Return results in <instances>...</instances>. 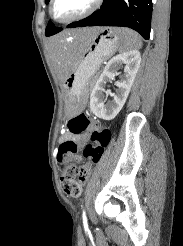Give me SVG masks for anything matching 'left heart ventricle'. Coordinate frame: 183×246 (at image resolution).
Returning <instances> with one entry per match:
<instances>
[{
	"instance_id": "b2bd125f",
	"label": "left heart ventricle",
	"mask_w": 183,
	"mask_h": 246,
	"mask_svg": "<svg viewBox=\"0 0 183 246\" xmlns=\"http://www.w3.org/2000/svg\"><path fill=\"white\" fill-rule=\"evenodd\" d=\"M93 0H55L53 14L59 20L76 16L85 11Z\"/></svg>"
}]
</instances>
